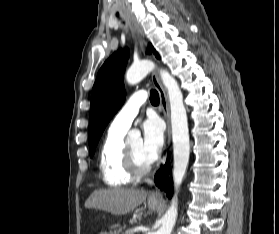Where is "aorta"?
Returning <instances> with one entry per match:
<instances>
[{
	"instance_id": "1",
	"label": "aorta",
	"mask_w": 279,
	"mask_h": 234,
	"mask_svg": "<svg viewBox=\"0 0 279 234\" xmlns=\"http://www.w3.org/2000/svg\"><path fill=\"white\" fill-rule=\"evenodd\" d=\"M154 68V63L149 60H143L133 64L126 72V80L128 84L135 85L139 83ZM159 73L161 80L167 89L171 109L174 156L173 180L176 194L171 201L170 207L163 216L161 227L156 234H171L178 215L177 192L182 184L189 162V130L186 109L183 103V95L177 81L166 70L160 69ZM135 134H138V131L133 130L129 133L130 136Z\"/></svg>"
}]
</instances>
